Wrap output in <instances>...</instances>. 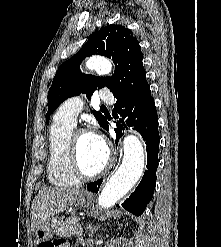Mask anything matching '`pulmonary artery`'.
Listing matches in <instances>:
<instances>
[{
	"instance_id": "obj_1",
	"label": "pulmonary artery",
	"mask_w": 221,
	"mask_h": 247,
	"mask_svg": "<svg viewBox=\"0 0 221 247\" xmlns=\"http://www.w3.org/2000/svg\"><path fill=\"white\" fill-rule=\"evenodd\" d=\"M101 100L112 102L113 95L108 90H102L99 94ZM83 108V101L80 97H72L66 100L58 109L55 117L70 126H75L78 114Z\"/></svg>"
}]
</instances>
